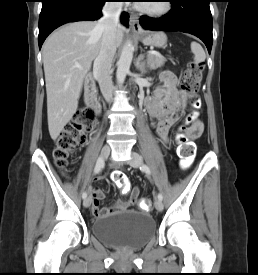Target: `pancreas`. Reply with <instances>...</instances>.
Segmentation results:
<instances>
[{
	"instance_id": "cf45deb5",
	"label": "pancreas",
	"mask_w": 258,
	"mask_h": 275,
	"mask_svg": "<svg viewBox=\"0 0 258 275\" xmlns=\"http://www.w3.org/2000/svg\"><path fill=\"white\" fill-rule=\"evenodd\" d=\"M165 59L163 57L157 56V55H148L146 64L144 63V69L145 67H148L150 69H157L164 65Z\"/></svg>"
}]
</instances>
